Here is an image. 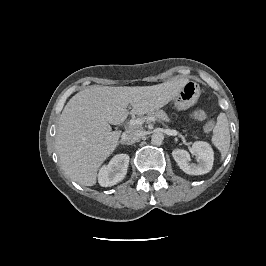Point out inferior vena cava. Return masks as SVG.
<instances>
[{
  "mask_svg": "<svg viewBox=\"0 0 266 266\" xmlns=\"http://www.w3.org/2000/svg\"><path fill=\"white\" fill-rule=\"evenodd\" d=\"M141 133L137 130H127L121 135V142L126 145H132L139 141Z\"/></svg>",
  "mask_w": 266,
  "mask_h": 266,
  "instance_id": "inferior-vena-cava-1",
  "label": "inferior vena cava"
}]
</instances>
